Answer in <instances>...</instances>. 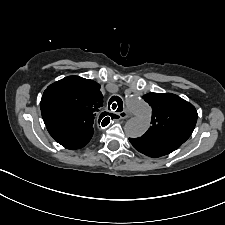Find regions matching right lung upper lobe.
Instances as JSON below:
<instances>
[{"label":"right lung upper lobe","instance_id":"right-lung-upper-lobe-1","mask_svg":"<svg viewBox=\"0 0 225 225\" xmlns=\"http://www.w3.org/2000/svg\"><path fill=\"white\" fill-rule=\"evenodd\" d=\"M102 106L100 85L79 76H68L49 85L40 105L46 125H71L89 131H94L93 124L97 121Z\"/></svg>","mask_w":225,"mask_h":225}]
</instances>
